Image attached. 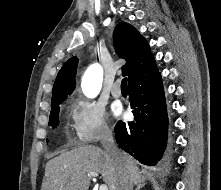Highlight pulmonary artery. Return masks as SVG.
Listing matches in <instances>:
<instances>
[{
  "mask_svg": "<svg viewBox=\"0 0 221 190\" xmlns=\"http://www.w3.org/2000/svg\"><path fill=\"white\" fill-rule=\"evenodd\" d=\"M111 94L114 97H120L122 95V90H121L119 82H116V83H114L112 85V87H111Z\"/></svg>",
  "mask_w": 221,
  "mask_h": 190,
  "instance_id": "e3ab8cb5",
  "label": "pulmonary artery"
}]
</instances>
